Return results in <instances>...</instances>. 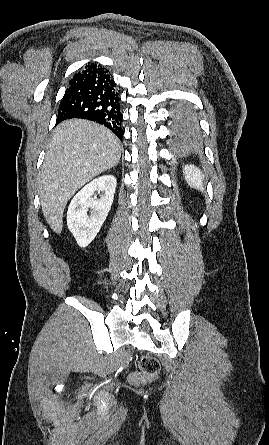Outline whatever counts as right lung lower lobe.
<instances>
[{"label": "right lung lower lobe", "instance_id": "obj_1", "mask_svg": "<svg viewBox=\"0 0 269 445\" xmlns=\"http://www.w3.org/2000/svg\"><path fill=\"white\" fill-rule=\"evenodd\" d=\"M72 118L103 124L122 140L120 95L108 70L91 63L69 81L59 105L57 124Z\"/></svg>", "mask_w": 269, "mask_h": 445}]
</instances>
